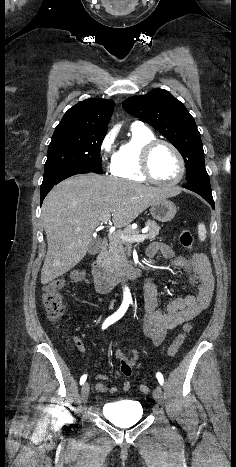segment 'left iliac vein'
<instances>
[{"instance_id": "left-iliac-vein-1", "label": "left iliac vein", "mask_w": 236, "mask_h": 467, "mask_svg": "<svg viewBox=\"0 0 236 467\" xmlns=\"http://www.w3.org/2000/svg\"><path fill=\"white\" fill-rule=\"evenodd\" d=\"M153 396H154V399L155 401L157 402V404L159 405H163V402H164V395H163V391H162V388L160 386H157L154 390V393H153Z\"/></svg>"}]
</instances>
